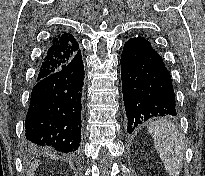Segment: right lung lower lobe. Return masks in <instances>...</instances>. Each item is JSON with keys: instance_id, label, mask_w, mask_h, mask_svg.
I'll return each mask as SVG.
<instances>
[{"instance_id": "right-lung-lower-lobe-1", "label": "right lung lower lobe", "mask_w": 205, "mask_h": 176, "mask_svg": "<svg viewBox=\"0 0 205 176\" xmlns=\"http://www.w3.org/2000/svg\"><path fill=\"white\" fill-rule=\"evenodd\" d=\"M83 82L81 51L55 72L37 79L25 120L29 150L76 154L81 142Z\"/></svg>"}]
</instances>
